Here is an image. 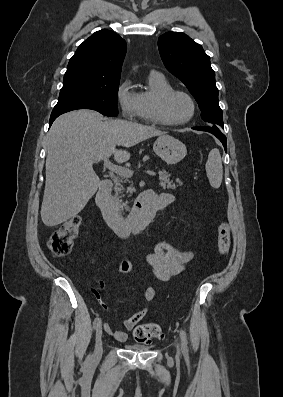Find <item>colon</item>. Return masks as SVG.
I'll list each match as a JSON object with an SVG mask.
<instances>
[{"instance_id": "colon-1", "label": "colon", "mask_w": 283, "mask_h": 397, "mask_svg": "<svg viewBox=\"0 0 283 397\" xmlns=\"http://www.w3.org/2000/svg\"><path fill=\"white\" fill-rule=\"evenodd\" d=\"M81 226V218L73 216L64 222L50 237L48 248L56 257L69 254L77 239ZM231 244V230L228 222L223 221L218 228V249L222 256H226ZM133 338L137 343H149L153 339H162L160 327L154 323L138 325L133 331Z\"/></svg>"}]
</instances>
